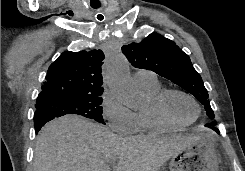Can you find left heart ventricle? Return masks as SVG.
<instances>
[{"label":"left heart ventricle","mask_w":245,"mask_h":171,"mask_svg":"<svg viewBox=\"0 0 245 171\" xmlns=\"http://www.w3.org/2000/svg\"><path fill=\"white\" fill-rule=\"evenodd\" d=\"M167 109L170 116L180 123L192 121L197 114L194 104L188 98L179 94L170 96L167 103Z\"/></svg>","instance_id":"obj_1"}]
</instances>
